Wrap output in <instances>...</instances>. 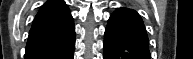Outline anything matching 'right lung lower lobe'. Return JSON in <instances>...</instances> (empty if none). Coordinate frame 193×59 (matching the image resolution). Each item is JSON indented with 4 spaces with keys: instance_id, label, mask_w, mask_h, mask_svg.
<instances>
[{
    "instance_id": "obj_1",
    "label": "right lung lower lobe",
    "mask_w": 193,
    "mask_h": 59,
    "mask_svg": "<svg viewBox=\"0 0 193 59\" xmlns=\"http://www.w3.org/2000/svg\"><path fill=\"white\" fill-rule=\"evenodd\" d=\"M75 32L51 45L26 48L25 59H73Z\"/></svg>"
}]
</instances>
